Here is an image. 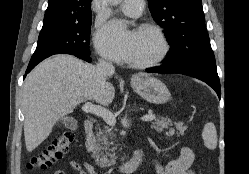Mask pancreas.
Returning a JSON list of instances; mask_svg holds the SVG:
<instances>
[{
  "label": "pancreas",
  "mask_w": 249,
  "mask_h": 174,
  "mask_svg": "<svg viewBox=\"0 0 249 174\" xmlns=\"http://www.w3.org/2000/svg\"><path fill=\"white\" fill-rule=\"evenodd\" d=\"M171 125L172 121L170 119L165 117H155L154 122L152 123V128L158 132H161L164 129H169V131L166 132L168 137L174 135L175 133H177V135H183L187 129V126H184L182 122L175 124L177 132L175 129L170 128ZM114 139L115 135L111 132V129L107 127L103 130L99 129L96 133L91 146V151L93 152L99 166L107 167L115 163L116 156L114 152L116 150V145L113 142Z\"/></svg>",
  "instance_id": "pancreas-1"
}]
</instances>
